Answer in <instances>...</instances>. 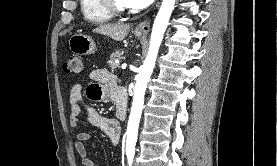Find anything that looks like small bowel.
Here are the masks:
<instances>
[{
  "label": "small bowel",
  "instance_id": "c3829d8e",
  "mask_svg": "<svg viewBox=\"0 0 277 166\" xmlns=\"http://www.w3.org/2000/svg\"><path fill=\"white\" fill-rule=\"evenodd\" d=\"M91 80L87 87L86 96L93 102H114L116 91L119 89L116 76L107 69H94L89 74ZM69 124L76 128L79 124V117L84 113L88 121L100 128L109 138L112 145H116L120 138L119 123L112 118L100 115L94 109L88 107L83 99L82 88L79 84L71 88L69 96ZM91 138L88 132H79L76 135L74 148L78 154L82 166H99L87 155L85 142Z\"/></svg>",
  "mask_w": 277,
  "mask_h": 166
}]
</instances>
